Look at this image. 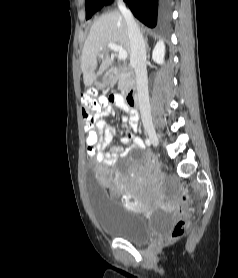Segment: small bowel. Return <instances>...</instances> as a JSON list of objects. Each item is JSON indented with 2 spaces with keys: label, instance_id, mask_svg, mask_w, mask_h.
<instances>
[{
  "label": "small bowel",
  "instance_id": "c3829d8e",
  "mask_svg": "<svg viewBox=\"0 0 238 278\" xmlns=\"http://www.w3.org/2000/svg\"><path fill=\"white\" fill-rule=\"evenodd\" d=\"M111 103L116 108L125 111L130 127L133 132H137L138 115L131 106L127 104L126 100L121 95L116 94L111 97ZM115 113L116 111L112 105L107 106L97 117L96 124L94 125V129L96 126L103 129V138L100 139L101 148L99 149V156L95 159L103 166L113 165L119 157L128 155L129 151L133 148L143 149L144 147L142 140L133 133H129L120 138V142L124 145H130V148L123 150L120 147L112 146L113 138L116 136V128L114 125L107 124L105 118Z\"/></svg>",
  "mask_w": 238,
  "mask_h": 278
}]
</instances>
